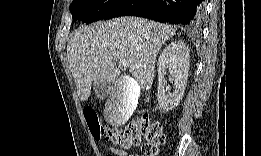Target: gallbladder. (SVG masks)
Instances as JSON below:
<instances>
[{
    "label": "gallbladder",
    "mask_w": 261,
    "mask_h": 156,
    "mask_svg": "<svg viewBox=\"0 0 261 156\" xmlns=\"http://www.w3.org/2000/svg\"><path fill=\"white\" fill-rule=\"evenodd\" d=\"M116 83H119L114 86L117 89H113L104 106V117L109 124L122 126L137 108L140 86L137 80L131 79L129 75H122Z\"/></svg>",
    "instance_id": "1"
}]
</instances>
